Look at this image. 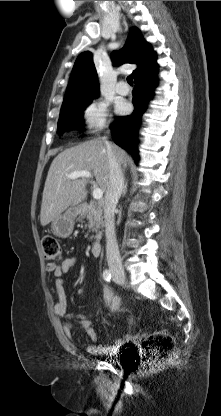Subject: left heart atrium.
<instances>
[{
  "label": "left heart atrium",
  "mask_w": 221,
  "mask_h": 416,
  "mask_svg": "<svg viewBox=\"0 0 221 416\" xmlns=\"http://www.w3.org/2000/svg\"><path fill=\"white\" fill-rule=\"evenodd\" d=\"M119 111L122 114H125L129 111V107L126 104H122L119 106Z\"/></svg>",
  "instance_id": "39dd6f15"
}]
</instances>
